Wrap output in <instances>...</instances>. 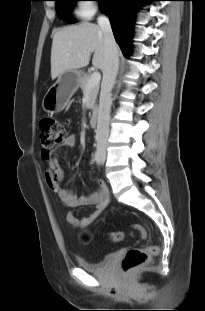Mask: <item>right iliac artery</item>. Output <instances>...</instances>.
<instances>
[{
    "mask_svg": "<svg viewBox=\"0 0 205 311\" xmlns=\"http://www.w3.org/2000/svg\"><path fill=\"white\" fill-rule=\"evenodd\" d=\"M95 161H96L97 165H99L100 158H99V151L98 150L95 152Z\"/></svg>",
    "mask_w": 205,
    "mask_h": 311,
    "instance_id": "right-iliac-artery-1",
    "label": "right iliac artery"
}]
</instances>
